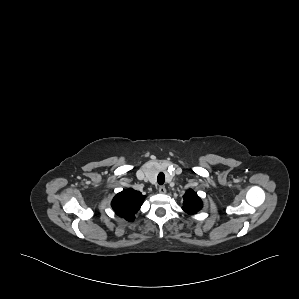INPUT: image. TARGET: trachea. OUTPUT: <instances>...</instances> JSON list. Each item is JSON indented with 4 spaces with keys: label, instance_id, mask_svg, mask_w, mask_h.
<instances>
[{
    "label": "trachea",
    "instance_id": "obj_1",
    "mask_svg": "<svg viewBox=\"0 0 299 299\" xmlns=\"http://www.w3.org/2000/svg\"><path fill=\"white\" fill-rule=\"evenodd\" d=\"M157 181L160 185H162L165 182V175L163 172H160L158 174Z\"/></svg>",
    "mask_w": 299,
    "mask_h": 299
}]
</instances>
